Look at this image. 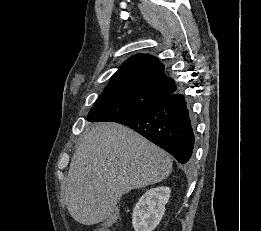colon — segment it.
I'll use <instances>...</instances> for the list:
<instances>
[{
  "label": "colon",
  "mask_w": 261,
  "mask_h": 231,
  "mask_svg": "<svg viewBox=\"0 0 261 231\" xmlns=\"http://www.w3.org/2000/svg\"><path fill=\"white\" fill-rule=\"evenodd\" d=\"M120 216V212L118 208H114L110 211L109 215H108V219L107 221L100 225L99 227H97L94 231H111V224L116 222L119 219Z\"/></svg>",
  "instance_id": "colon-1"
}]
</instances>
